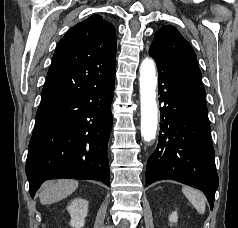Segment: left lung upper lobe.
Returning <instances> with one entry per match:
<instances>
[{"mask_svg":"<svg viewBox=\"0 0 238 228\" xmlns=\"http://www.w3.org/2000/svg\"><path fill=\"white\" fill-rule=\"evenodd\" d=\"M149 54L173 72L192 80L204 89L196 54L175 27L166 25L155 33Z\"/></svg>","mask_w":238,"mask_h":228,"instance_id":"left-lung-upper-lobe-1","label":"left lung upper lobe"}]
</instances>
